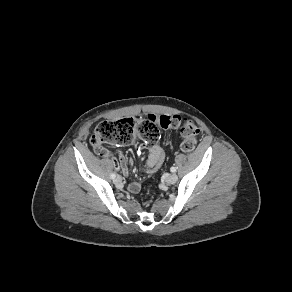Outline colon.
<instances>
[{"label": "colon", "mask_w": 292, "mask_h": 292, "mask_svg": "<svg viewBox=\"0 0 292 292\" xmlns=\"http://www.w3.org/2000/svg\"><path fill=\"white\" fill-rule=\"evenodd\" d=\"M160 127L180 130L183 137L182 151L191 152L195 149L199 130L193 120L180 116L158 117L152 114L138 120L123 118L116 121H102L96 126L90 142L97 153L104 150L103 145L106 143L125 145L137 137L155 143L160 136Z\"/></svg>", "instance_id": "colon-1"}]
</instances>
